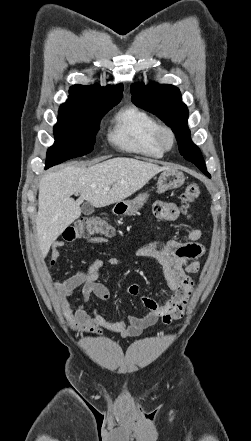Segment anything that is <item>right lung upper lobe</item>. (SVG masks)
<instances>
[{
  "instance_id": "cb5924a9",
  "label": "right lung upper lobe",
  "mask_w": 251,
  "mask_h": 441,
  "mask_svg": "<svg viewBox=\"0 0 251 441\" xmlns=\"http://www.w3.org/2000/svg\"><path fill=\"white\" fill-rule=\"evenodd\" d=\"M123 85L116 86H84L74 85L69 90V99L62 104L59 111H74L88 100L120 101L122 98Z\"/></svg>"
}]
</instances>
